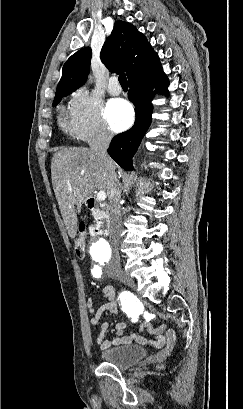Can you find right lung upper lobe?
Instances as JSON below:
<instances>
[{"label": "right lung upper lobe", "instance_id": "right-lung-upper-lobe-1", "mask_svg": "<svg viewBox=\"0 0 243 409\" xmlns=\"http://www.w3.org/2000/svg\"><path fill=\"white\" fill-rule=\"evenodd\" d=\"M91 48L74 53L64 64L55 98L84 84L90 68ZM100 58L111 72L125 71L128 82L160 67L158 55L145 36L127 22L117 21L102 47Z\"/></svg>", "mask_w": 243, "mask_h": 409}]
</instances>
